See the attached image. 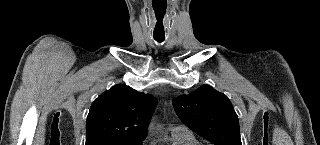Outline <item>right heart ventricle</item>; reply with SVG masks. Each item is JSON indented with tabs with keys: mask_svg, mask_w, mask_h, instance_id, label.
<instances>
[{
	"mask_svg": "<svg viewBox=\"0 0 320 145\" xmlns=\"http://www.w3.org/2000/svg\"><path fill=\"white\" fill-rule=\"evenodd\" d=\"M168 145H200L190 131H171Z\"/></svg>",
	"mask_w": 320,
	"mask_h": 145,
	"instance_id": "right-heart-ventricle-1",
	"label": "right heart ventricle"
}]
</instances>
